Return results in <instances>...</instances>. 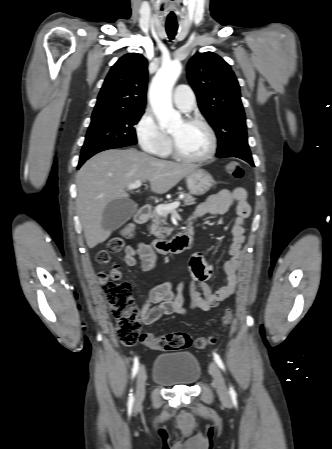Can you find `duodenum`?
I'll return each mask as SVG.
<instances>
[{"mask_svg": "<svg viewBox=\"0 0 332 449\" xmlns=\"http://www.w3.org/2000/svg\"><path fill=\"white\" fill-rule=\"evenodd\" d=\"M150 209L147 206H141L134 215L136 224H143L147 221ZM193 240V228L190 224L171 239H159L153 242L155 249L160 254L180 253L188 249Z\"/></svg>", "mask_w": 332, "mask_h": 449, "instance_id": "410a0bca", "label": "duodenum"}]
</instances>
